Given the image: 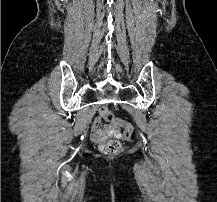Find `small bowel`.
I'll return each instance as SVG.
<instances>
[{
    "label": "small bowel",
    "mask_w": 217,
    "mask_h": 202,
    "mask_svg": "<svg viewBox=\"0 0 217 202\" xmlns=\"http://www.w3.org/2000/svg\"><path fill=\"white\" fill-rule=\"evenodd\" d=\"M117 136H122L120 128H109L103 120H99V116L93 119L90 126V141L92 143L100 145L111 137L117 138Z\"/></svg>",
    "instance_id": "small-bowel-1"
}]
</instances>
